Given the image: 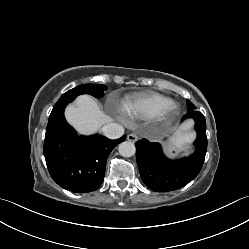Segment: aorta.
<instances>
[{"mask_svg": "<svg viewBox=\"0 0 249 249\" xmlns=\"http://www.w3.org/2000/svg\"><path fill=\"white\" fill-rule=\"evenodd\" d=\"M118 151L123 157H131L135 154L136 148L132 142L124 141L119 144Z\"/></svg>", "mask_w": 249, "mask_h": 249, "instance_id": "aorta-1", "label": "aorta"}]
</instances>
